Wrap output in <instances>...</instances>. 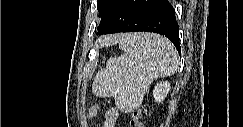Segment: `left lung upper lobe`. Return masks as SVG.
Returning a JSON list of instances; mask_svg holds the SVG:
<instances>
[{
  "mask_svg": "<svg viewBox=\"0 0 243 127\" xmlns=\"http://www.w3.org/2000/svg\"><path fill=\"white\" fill-rule=\"evenodd\" d=\"M122 0H97V7L101 22L98 28H103L106 25V17L117 8Z\"/></svg>",
  "mask_w": 243,
  "mask_h": 127,
  "instance_id": "1",
  "label": "left lung upper lobe"
}]
</instances>
